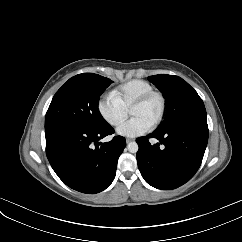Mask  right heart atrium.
Listing matches in <instances>:
<instances>
[{"mask_svg": "<svg viewBox=\"0 0 242 242\" xmlns=\"http://www.w3.org/2000/svg\"><path fill=\"white\" fill-rule=\"evenodd\" d=\"M97 107L101 117L114 127L120 125L128 116V110L113 95L100 98Z\"/></svg>", "mask_w": 242, "mask_h": 242, "instance_id": "1", "label": "right heart atrium"}]
</instances>
